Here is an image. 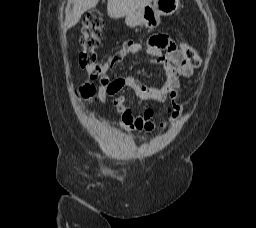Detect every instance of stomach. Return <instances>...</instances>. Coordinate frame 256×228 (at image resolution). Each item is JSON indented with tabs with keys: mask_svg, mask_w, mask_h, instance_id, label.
<instances>
[{
	"mask_svg": "<svg viewBox=\"0 0 256 228\" xmlns=\"http://www.w3.org/2000/svg\"><path fill=\"white\" fill-rule=\"evenodd\" d=\"M180 0H152L125 17L129 27L145 26L154 29L160 24L161 16L172 15L179 7Z\"/></svg>",
	"mask_w": 256,
	"mask_h": 228,
	"instance_id": "1",
	"label": "stomach"
}]
</instances>
